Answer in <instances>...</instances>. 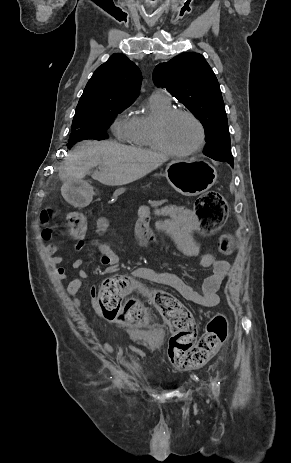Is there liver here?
Segmentation results:
<instances>
[{
	"mask_svg": "<svg viewBox=\"0 0 291 463\" xmlns=\"http://www.w3.org/2000/svg\"><path fill=\"white\" fill-rule=\"evenodd\" d=\"M167 157L153 151L129 147L114 141H85L67 155L59 170L65 183H83L90 170L92 178L108 186L126 185L152 172Z\"/></svg>",
	"mask_w": 291,
	"mask_h": 463,
	"instance_id": "1",
	"label": "liver"
}]
</instances>
